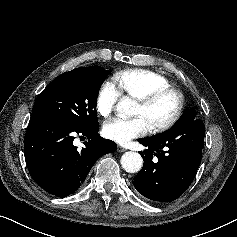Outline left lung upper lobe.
Returning a JSON list of instances; mask_svg holds the SVG:
<instances>
[{
  "label": "left lung upper lobe",
  "instance_id": "left-lung-upper-lobe-1",
  "mask_svg": "<svg viewBox=\"0 0 237 237\" xmlns=\"http://www.w3.org/2000/svg\"><path fill=\"white\" fill-rule=\"evenodd\" d=\"M193 118H196V111L194 109H186L183 112L182 116L179 118V120L174 124V126L170 130H168L162 134H159L157 136H154V137H152V139H158L164 135L171 133L173 130L180 127L183 123H185L186 121L193 119Z\"/></svg>",
  "mask_w": 237,
  "mask_h": 237
}]
</instances>
